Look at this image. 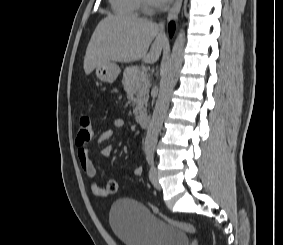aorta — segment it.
<instances>
[{"instance_id": "1", "label": "aorta", "mask_w": 283, "mask_h": 245, "mask_svg": "<svg viewBox=\"0 0 283 245\" xmlns=\"http://www.w3.org/2000/svg\"><path fill=\"white\" fill-rule=\"evenodd\" d=\"M184 44L185 33L181 29L174 42L171 57L160 82V90L155 104L153 116L147 128V134L144 143L145 151H154L157 144L158 135L169 107L171 94L182 67Z\"/></svg>"}]
</instances>
